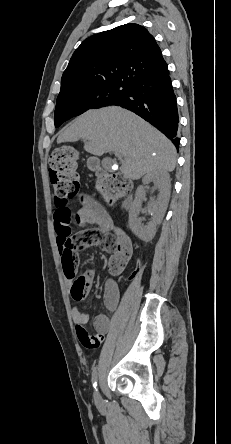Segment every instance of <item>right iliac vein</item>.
<instances>
[{"mask_svg":"<svg viewBox=\"0 0 231 444\" xmlns=\"http://www.w3.org/2000/svg\"><path fill=\"white\" fill-rule=\"evenodd\" d=\"M94 398L97 403H99L101 401V397H100V394L98 393V391H96L94 393Z\"/></svg>","mask_w":231,"mask_h":444,"instance_id":"obj_1","label":"right iliac vein"}]
</instances>
